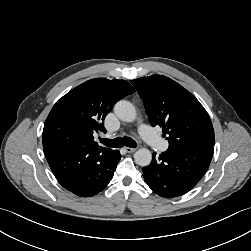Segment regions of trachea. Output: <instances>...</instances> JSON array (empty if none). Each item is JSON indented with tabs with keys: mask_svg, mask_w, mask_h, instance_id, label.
<instances>
[{
	"mask_svg": "<svg viewBox=\"0 0 251 251\" xmlns=\"http://www.w3.org/2000/svg\"><path fill=\"white\" fill-rule=\"evenodd\" d=\"M100 142L104 144L107 147H114V148H120L123 147L124 145L127 147L135 148L137 146L136 142L127 136L122 137H117L115 139H101Z\"/></svg>",
	"mask_w": 251,
	"mask_h": 251,
	"instance_id": "3493384b",
	"label": "trachea"
}]
</instances>
